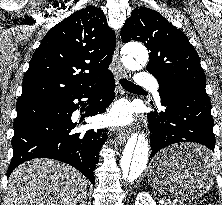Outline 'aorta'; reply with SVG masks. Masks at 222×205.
Segmentation results:
<instances>
[{
	"label": "aorta",
	"mask_w": 222,
	"mask_h": 205,
	"mask_svg": "<svg viewBox=\"0 0 222 205\" xmlns=\"http://www.w3.org/2000/svg\"><path fill=\"white\" fill-rule=\"evenodd\" d=\"M123 63L131 69H138L148 62V52L140 43H130L123 48ZM149 157L148 140L144 134L132 135L124 148L120 160V185L131 184L146 168Z\"/></svg>",
	"instance_id": "762f6f07"
}]
</instances>
